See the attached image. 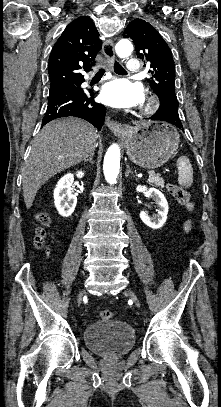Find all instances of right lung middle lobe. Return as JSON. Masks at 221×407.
Here are the masks:
<instances>
[{
	"label": "right lung middle lobe",
	"instance_id": "1",
	"mask_svg": "<svg viewBox=\"0 0 221 407\" xmlns=\"http://www.w3.org/2000/svg\"><path fill=\"white\" fill-rule=\"evenodd\" d=\"M62 86H64V85H61V84H51L50 90H54V89H57V88L62 87Z\"/></svg>",
	"mask_w": 221,
	"mask_h": 407
}]
</instances>
